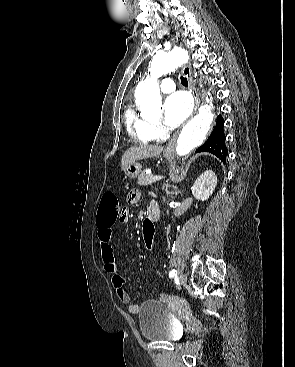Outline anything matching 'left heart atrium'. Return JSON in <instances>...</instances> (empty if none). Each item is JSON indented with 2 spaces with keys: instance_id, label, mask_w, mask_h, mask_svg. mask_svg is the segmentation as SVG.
I'll use <instances>...</instances> for the list:
<instances>
[{
  "instance_id": "left-heart-atrium-1",
  "label": "left heart atrium",
  "mask_w": 295,
  "mask_h": 367,
  "mask_svg": "<svg viewBox=\"0 0 295 367\" xmlns=\"http://www.w3.org/2000/svg\"><path fill=\"white\" fill-rule=\"evenodd\" d=\"M192 102L183 91L171 94L164 104V123L169 129L179 126L190 114Z\"/></svg>"
}]
</instances>
